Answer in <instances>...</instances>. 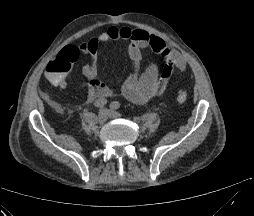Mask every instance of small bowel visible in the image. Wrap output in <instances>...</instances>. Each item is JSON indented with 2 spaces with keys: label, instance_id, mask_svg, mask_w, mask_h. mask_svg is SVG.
Wrapping results in <instances>:
<instances>
[{
  "label": "small bowel",
  "instance_id": "c3829d8e",
  "mask_svg": "<svg viewBox=\"0 0 254 216\" xmlns=\"http://www.w3.org/2000/svg\"><path fill=\"white\" fill-rule=\"evenodd\" d=\"M118 40L129 42L128 55L132 63V72L123 82L121 94L131 102L142 104L154 96L163 94L174 67L180 73L186 71L187 63L184 57L160 37L140 28L110 27L98 37L91 38L79 46L68 45L61 52V56L66 60L79 53L89 57L90 61L82 67V73L89 80L88 99L91 101L115 95L112 88L97 79L98 46L99 43ZM146 48L164 57L166 64L162 70H159L155 63H150L144 70L142 69V51ZM48 80L54 87L64 89L67 86V73L57 80L49 78Z\"/></svg>",
  "mask_w": 254,
  "mask_h": 216
}]
</instances>
